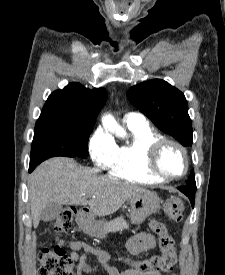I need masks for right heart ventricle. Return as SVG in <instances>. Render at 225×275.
<instances>
[{"label":"right heart ventricle","mask_w":225,"mask_h":275,"mask_svg":"<svg viewBox=\"0 0 225 275\" xmlns=\"http://www.w3.org/2000/svg\"><path fill=\"white\" fill-rule=\"evenodd\" d=\"M131 139L116 147L108 165L109 174L139 184H157L163 180L154 176L146 166V151L149 145L163 136L149 124L128 125Z\"/></svg>","instance_id":"obj_1"}]
</instances>
